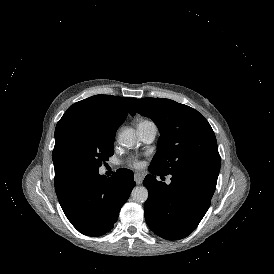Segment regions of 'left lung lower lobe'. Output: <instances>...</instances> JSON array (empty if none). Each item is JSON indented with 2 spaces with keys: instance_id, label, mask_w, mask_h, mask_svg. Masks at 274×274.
I'll return each instance as SVG.
<instances>
[{
  "instance_id": "0a47b994",
  "label": "left lung lower lobe",
  "mask_w": 274,
  "mask_h": 274,
  "mask_svg": "<svg viewBox=\"0 0 274 274\" xmlns=\"http://www.w3.org/2000/svg\"><path fill=\"white\" fill-rule=\"evenodd\" d=\"M144 186L149 197L144 205L145 220L158 236L178 240L188 236L207 212L218 176L196 171L171 173V183L159 182L167 175L149 166Z\"/></svg>"
}]
</instances>
